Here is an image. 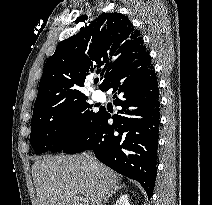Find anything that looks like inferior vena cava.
<instances>
[{"label": "inferior vena cava", "mask_w": 212, "mask_h": 205, "mask_svg": "<svg viewBox=\"0 0 212 205\" xmlns=\"http://www.w3.org/2000/svg\"><path fill=\"white\" fill-rule=\"evenodd\" d=\"M88 159L90 160V162H91V166L94 168V169H98L97 168V162H96V160H95V158L92 156V155H88Z\"/></svg>", "instance_id": "1"}]
</instances>
